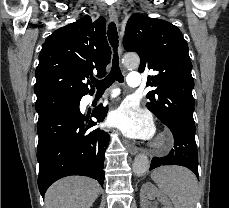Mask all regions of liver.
Wrapping results in <instances>:
<instances>
[{"instance_id": "6515ba94", "label": "liver", "mask_w": 229, "mask_h": 208, "mask_svg": "<svg viewBox=\"0 0 229 208\" xmlns=\"http://www.w3.org/2000/svg\"><path fill=\"white\" fill-rule=\"evenodd\" d=\"M100 184L90 178L70 176L62 178L48 188L46 208H90L100 194Z\"/></svg>"}]
</instances>
